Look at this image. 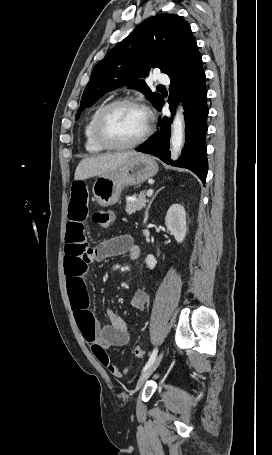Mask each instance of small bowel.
<instances>
[{"label":"small bowel","mask_w":272,"mask_h":455,"mask_svg":"<svg viewBox=\"0 0 272 455\" xmlns=\"http://www.w3.org/2000/svg\"><path fill=\"white\" fill-rule=\"evenodd\" d=\"M88 188L83 180L73 182L68 207V222L65 237L64 268L69 298L76 323L85 341L97 360L115 377H123L129 367L119 368L112 363L108 350L120 347L129 340L126 321L111 309L106 311L109 323L102 326L90 309L86 277L89 266L103 259L127 254L135 260L140 248L130 235L108 238L95 247H90L85 237L88 215ZM148 296L138 289L131 296V305L137 310L145 308Z\"/></svg>","instance_id":"obj_1"}]
</instances>
